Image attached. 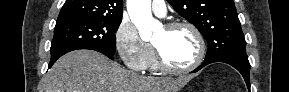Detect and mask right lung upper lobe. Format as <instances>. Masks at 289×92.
<instances>
[{
	"label": "right lung upper lobe",
	"mask_w": 289,
	"mask_h": 92,
	"mask_svg": "<svg viewBox=\"0 0 289 92\" xmlns=\"http://www.w3.org/2000/svg\"><path fill=\"white\" fill-rule=\"evenodd\" d=\"M122 19V0H66L58 19Z\"/></svg>",
	"instance_id": "obj_1"
}]
</instances>
